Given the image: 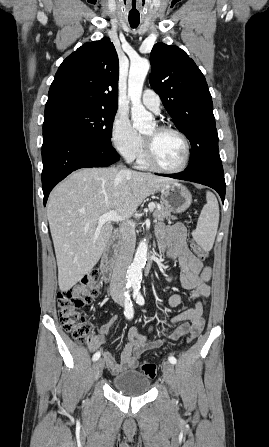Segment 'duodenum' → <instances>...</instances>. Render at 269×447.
<instances>
[{"label":"duodenum","instance_id":"obj_1","mask_svg":"<svg viewBox=\"0 0 269 447\" xmlns=\"http://www.w3.org/2000/svg\"><path fill=\"white\" fill-rule=\"evenodd\" d=\"M120 240V232H115V234L110 239L107 244L104 254L102 256L101 265H100V273L101 277L104 281H109L112 277L115 263H116V254ZM155 254H151L145 264V274H148L152 269L154 262Z\"/></svg>","mask_w":269,"mask_h":447}]
</instances>
